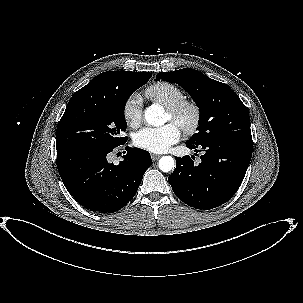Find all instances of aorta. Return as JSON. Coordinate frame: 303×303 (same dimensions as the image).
<instances>
[{
  "label": "aorta",
  "mask_w": 303,
  "mask_h": 303,
  "mask_svg": "<svg viewBox=\"0 0 303 303\" xmlns=\"http://www.w3.org/2000/svg\"><path fill=\"white\" fill-rule=\"evenodd\" d=\"M162 110L158 105H151L146 108L144 117L148 124L159 126L162 124ZM175 163L171 156H163L159 160V169L163 172H169L174 169Z\"/></svg>",
  "instance_id": "1"
}]
</instances>
